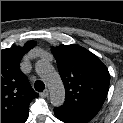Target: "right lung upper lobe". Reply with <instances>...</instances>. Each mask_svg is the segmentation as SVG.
<instances>
[{"label":"right lung upper lobe","mask_w":123,"mask_h":123,"mask_svg":"<svg viewBox=\"0 0 123 123\" xmlns=\"http://www.w3.org/2000/svg\"><path fill=\"white\" fill-rule=\"evenodd\" d=\"M35 45L29 41L23 47L1 50V123H25L29 103L38 97L19 68L23 55Z\"/></svg>","instance_id":"right-lung-upper-lobe-1"}]
</instances>
